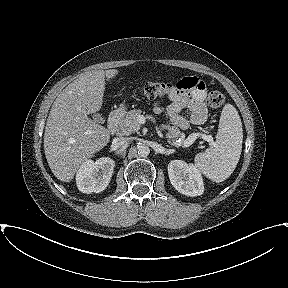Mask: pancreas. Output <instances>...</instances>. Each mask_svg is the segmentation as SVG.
Instances as JSON below:
<instances>
[{"label":"pancreas","mask_w":288,"mask_h":288,"mask_svg":"<svg viewBox=\"0 0 288 288\" xmlns=\"http://www.w3.org/2000/svg\"><path fill=\"white\" fill-rule=\"evenodd\" d=\"M141 110H131L121 117L117 123V131L119 135H130L131 133H139L140 123L138 122V116L141 114ZM185 134L181 132L177 127H172L166 134L168 143L173 146L179 147L184 145ZM180 138V141H178Z\"/></svg>","instance_id":"obj_1"}]
</instances>
